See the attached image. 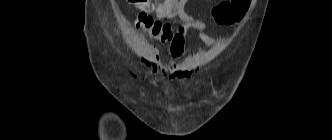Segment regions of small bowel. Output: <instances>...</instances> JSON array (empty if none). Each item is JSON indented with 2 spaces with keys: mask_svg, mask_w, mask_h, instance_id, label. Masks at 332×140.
<instances>
[{
  "mask_svg": "<svg viewBox=\"0 0 332 140\" xmlns=\"http://www.w3.org/2000/svg\"><path fill=\"white\" fill-rule=\"evenodd\" d=\"M188 0H175L168 10L157 11L159 19H168L175 11L180 18V26L177 31H173L169 36L154 37L161 43H169V56L167 62L154 59L150 62V69L153 74H160L163 78L170 80H183L187 77L188 69L182 61L187 40L195 32L198 38L208 44L217 45L218 42L211 37L208 31V25L190 14L186 10Z\"/></svg>",
  "mask_w": 332,
  "mask_h": 140,
  "instance_id": "obj_1",
  "label": "small bowel"
}]
</instances>
